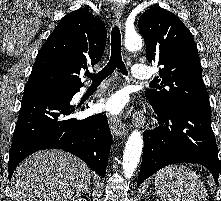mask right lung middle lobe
<instances>
[{
	"instance_id": "obj_1",
	"label": "right lung middle lobe",
	"mask_w": 221,
	"mask_h": 201,
	"mask_svg": "<svg viewBox=\"0 0 221 201\" xmlns=\"http://www.w3.org/2000/svg\"><path fill=\"white\" fill-rule=\"evenodd\" d=\"M67 90H59V89H46V88H33V89H24V93H40V94H63L66 93Z\"/></svg>"
}]
</instances>
